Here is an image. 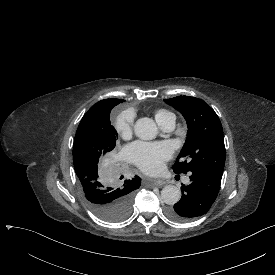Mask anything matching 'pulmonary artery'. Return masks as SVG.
Masks as SVG:
<instances>
[{
  "label": "pulmonary artery",
  "instance_id": "1",
  "mask_svg": "<svg viewBox=\"0 0 275 275\" xmlns=\"http://www.w3.org/2000/svg\"><path fill=\"white\" fill-rule=\"evenodd\" d=\"M158 125L165 132L172 131L175 127V117L171 116V117L167 118L166 120L158 122ZM189 181H190L189 176H185L183 178L184 183H189Z\"/></svg>",
  "mask_w": 275,
  "mask_h": 275
}]
</instances>
